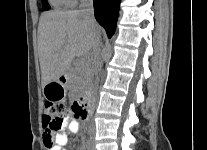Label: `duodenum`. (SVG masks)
Instances as JSON below:
<instances>
[{
  "mask_svg": "<svg viewBox=\"0 0 207 150\" xmlns=\"http://www.w3.org/2000/svg\"><path fill=\"white\" fill-rule=\"evenodd\" d=\"M63 82H66V79H62ZM76 109L78 110L79 114L86 118L87 115L90 113L91 109V94L87 92L75 105Z\"/></svg>",
  "mask_w": 207,
  "mask_h": 150,
  "instance_id": "410a0bca",
  "label": "duodenum"
}]
</instances>
